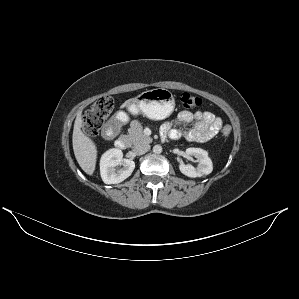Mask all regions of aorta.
<instances>
[{
	"label": "aorta",
	"instance_id": "aorta-1",
	"mask_svg": "<svg viewBox=\"0 0 299 299\" xmlns=\"http://www.w3.org/2000/svg\"><path fill=\"white\" fill-rule=\"evenodd\" d=\"M153 152H154L155 154H160V153L162 152V147H161L160 145H155V146L153 147Z\"/></svg>",
	"mask_w": 299,
	"mask_h": 299
}]
</instances>
